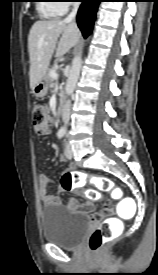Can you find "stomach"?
<instances>
[{"label": "stomach", "mask_w": 158, "mask_h": 275, "mask_svg": "<svg viewBox=\"0 0 158 275\" xmlns=\"http://www.w3.org/2000/svg\"><path fill=\"white\" fill-rule=\"evenodd\" d=\"M49 81L47 74L41 78L33 88V93L36 97H44L48 91Z\"/></svg>", "instance_id": "stomach-1"}]
</instances>
